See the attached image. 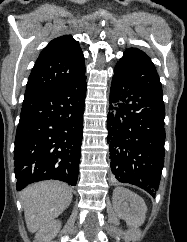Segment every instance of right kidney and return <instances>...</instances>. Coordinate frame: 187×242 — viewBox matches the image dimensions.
<instances>
[{
	"label": "right kidney",
	"instance_id": "1",
	"mask_svg": "<svg viewBox=\"0 0 187 242\" xmlns=\"http://www.w3.org/2000/svg\"><path fill=\"white\" fill-rule=\"evenodd\" d=\"M60 228V221H51L39 230V232L36 234L35 242H51V240L58 234Z\"/></svg>",
	"mask_w": 187,
	"mask_h": 242
}]
</instances>
